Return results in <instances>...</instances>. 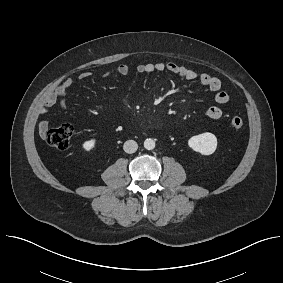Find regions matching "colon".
<instances>
[{
	"label": "colon",
	"mask_w": 283,
	"mask_h": 283,
	"mask_svg": "<svg viewBox=\"0 0 283 283\" xmlns=\"http://www.w3.org/2000/svg\"><path fill=\"white\" fill-rule=\"evenodd\" d=\"M230 125L234 129H240L244 125V120L240 116H233ZM72 135L73 127L70 124H62L49 130L46 134V140L53 148L64 150L69 147Z\"/></svg>",
	"instance_id": "5ec220e1"
}]
</instances>
